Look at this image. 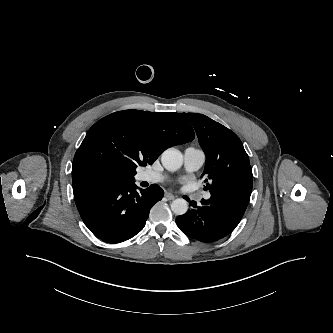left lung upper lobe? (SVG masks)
I'll use <instances>...</instances> for the list:
<instances>
[{"label": "left lung upper lobe", "mask_w": 333, "mask_h": 333, "mask_svg": "<svg viewBox=\"0 0 333 333\" xmlns=\"http://www.w3.org/2000/svg\"><path fill=\"white\" fill-rule=\"evenodd\" d=\"M183 116L193 125L206 155L204 190L215 191L222 176L250 166L241 140L231 130L202 114L183 113Z\"/></svg>", "instance_id": "obj_1"}]
</instances>
